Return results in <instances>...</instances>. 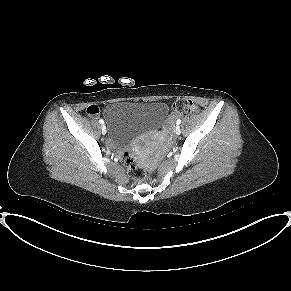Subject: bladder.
I'll return each instance as SVG.
<instances>
[{
  "mask_svg": "<svg viewBox=\"0 0 291 291\" xmlns=\"http://www.w3.org/2000/svg\"><path fill=\"white\" fill-rule=\"evenodd\" d=\"M168 115V106L163 102L109 103L103 116L108 137L120 147L128 145L137 136L159 128Z\"/></svg>",
  "mask_w": 291,
  "mask_h": 291,
  "instance_id": "bladder-1",
  "label": "bladder"
}]
</instances>
